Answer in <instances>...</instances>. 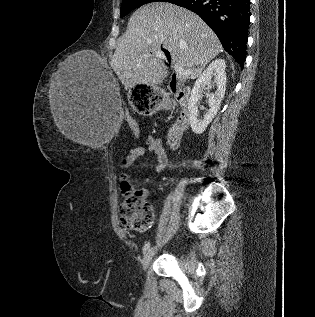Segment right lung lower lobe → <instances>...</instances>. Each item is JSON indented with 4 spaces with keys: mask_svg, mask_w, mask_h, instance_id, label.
I'll return each mask as SVG.
<instances>
[{
    "mask_svg": "<svg viewBox=\"0 0 315 317\" xmlns=\"http://www.w3.org/2000/svg\"><path fill=\"white\" fill-rule=\"evenodd\" d=\"M198 14L216 33L225 51L243 68L246 58L250 0H176Z\"/></svg>",
    "mask_w": 315,
    "mask_h": 317,
    "instance_id": "obj_1",
    "label": "right lung lower lobe"
}]
</instances>
